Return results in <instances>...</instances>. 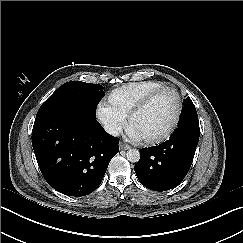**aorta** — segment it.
Returning <instances> with one entry per match:
<instances>
[{
	"mask_svg": "<svg viewBox=\"0 0 243 243\" xmlns=\"http://www.w3.org/2000/svg\"><path fill=\"white\" fill-rule=\"evenodd\" d=\"M127 160L132 163H137L140 159V152L137 149H129L126 153Z\"/></svg>",
	"mask_w": 243,
	"mask_h": 243,
	"instance_id": "obj_1",
	"label": "aorta"
}]
</instances>
